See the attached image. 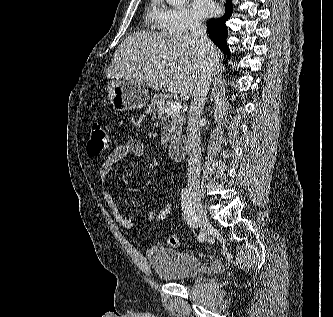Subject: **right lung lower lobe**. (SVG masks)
Listing matches in <instances>:
<instances>
[{
	"label": "right lung lower lobe",
	"mask_w": 333,
	"mask_h": 317,
	"mask_svg": "<svg viewBox=\"0 0 333 317\" xmlns=\"http://www.w3.org/2000/svg\"><path fill=\"white\" fill-rule=\"evenodd\" d=\"M232 14V2L226 0L225 3V14L218 19H210L207 23V29L210 39L221 49V51L230 56L229 49L226 43L227 27L225 22L230 18Z\"/></svg>",
	"instance_id": "98d812e1"
}]
</instances>
